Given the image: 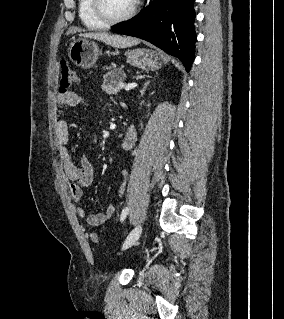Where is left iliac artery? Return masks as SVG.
Returning a JSON list of instances; mask_svg holds the SVG:
<instances>
[{
  "label": "left iliac artery",
  "mask_w": 284,
  "mask_h": 319,
  "mask_svg": "<svg viewBox=\"0 0 284 319\" xmlns=\"http://www.w3.org/2000/svg\"><path fill=\"white\" fill-rule=\"evenodd\" d=\"M128 212H129V208H128V207H126V208H124V209L122 210L121 216H120V220H121V221H123V220L126 218Z\"/></svg>",
  "instance_id": "left-iliac-artery-1"
}]
</instances>
